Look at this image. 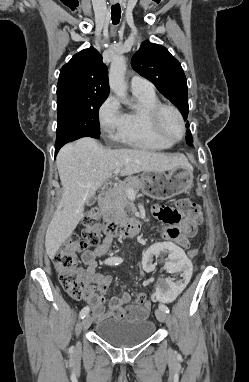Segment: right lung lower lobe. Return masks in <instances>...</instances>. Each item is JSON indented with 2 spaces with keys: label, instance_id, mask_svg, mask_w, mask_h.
<instances>
[{
  "label": "right lung lower lobe",
  "instance_id": "obj_1",
  "mask_svg": "<svg viewBox=\"0 0 249 382\" xmlns=\"http://www.w3.org/2000/svg\"><path fill=\"white\" fill-rule=\"evenodd\" d=\"M63 145H64V144L55 145V156L57 155L58 151L60 150V148H61Z\"/></svg>",
  "mask_w": 249,
  "mask_h": 382
}]
</instances>
